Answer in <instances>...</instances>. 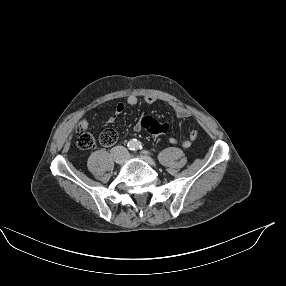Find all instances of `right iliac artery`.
<instances>
[{
    "label": "right iliac artery",
    "instance_id": "1",
    "mask_svg": "<svg viewBox=\"0 0 286 286\" xmlns=\"http://www.w3.org/2000/svg\"><path fill=\"white\" fill-rule=\"evenodd\" d=\"M128 146H129V144H128ZM130 149H133L134 150V148L130 145Z\"/></svg>",
    "mask_w": 286,
    "mask_h": 286
}]
</instances>
